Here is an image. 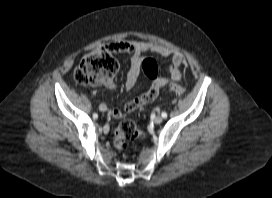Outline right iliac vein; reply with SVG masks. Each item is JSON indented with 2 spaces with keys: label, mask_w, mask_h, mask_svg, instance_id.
<instances>
[{
  "label": "right iliac vein",
  "mask_w": 272,
  "mask_h": 198,
  "mask_svg": "<svg viewBox=\"0 0 272 198\" xmlns=\"http://www.w3.org/2000/svg\"><path fill=\"white\" fill-rule=\"evenodd\" d=\"M100 110L102 112H105V111H107V107L105 105H100Z\"/></svg>",
  "instance_id": "1"
}]
</instances>
